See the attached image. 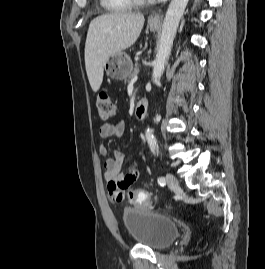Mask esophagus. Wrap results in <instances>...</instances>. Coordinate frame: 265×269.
I'll use <instances>...</instances> for the list:
<instances>
[{
	"instance_id": "1",
	"label": "esophagus",
	"mask_w": 265,
	"mask_h": 269,
	"mask_svg": "<svg viewBox=\"0 0 265 269\" xmlns=\"http://www.w3.org/2000/svg\"><path fill=\"white\" fill-rule=\"evenodd\" d=\"M162 19V15L160 13H155V14H152L150 17H149V22L151 23H158L160 22Z\"/></svg>"
}]
</instances>
